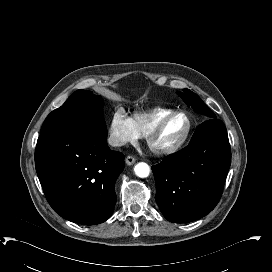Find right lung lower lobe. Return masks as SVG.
<instances>
[{
	"label": "right lung lower lobe",
	"mask_w": 272,
	"mask_h": 272,
	"mask_svg": "<svg viewBox=\"0 0 272 272\" xmlns=\"http://www.w3.org/2000/svg\"><path fill=\"white\" fill-rule=\"evenodd\" d=\"M35 167L48 203L61 217L95 225L111 216L124 155L108 147L103 121L83 119L42 132Z\"/></svg>",
	"instance_id": "obj_1"
}]
</instances>
